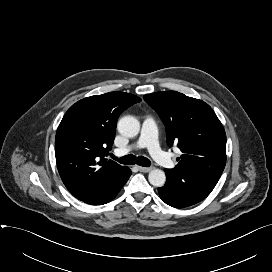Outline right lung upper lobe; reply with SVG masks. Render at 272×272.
Segmentation results:
<instances>
[{
  "mask_svg": "<svg viewBox=\"0 0 272 272\" xmlns=\"http://www.w3.org/2000/svg\"><path fill=\"white\" fill-rule=\"evenodd\" d=\"M141 99L124 92L84 98L72 105L60 122L55 156L68 191L81 201L92 200L120 182L128 167L107 160L119 115Z\"/></svg>",
  "mask_w": 272,
  "mask_h": 272,
  "instance_id": "right-lung-upper-lobe-1",
  "label": "right lung upper lobe"
}]
</instances>
